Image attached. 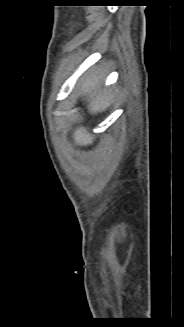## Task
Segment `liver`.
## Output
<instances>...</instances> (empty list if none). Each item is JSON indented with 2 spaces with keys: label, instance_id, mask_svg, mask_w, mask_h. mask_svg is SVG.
<instances>
[{
  "label": "liver",
  "instance_id": "liver-1",
  "mask_svg": "<svg viewBox=\"0 0 184 327\" xmlns=\"http://www.w3.org/2000/svg\"><path fill=\"white\" fill-rule=\"evenodd\" d=\"M99 85V80L97 77L86 78L82 83L83 94H90L92 90H96ZM112 102V97L107 95L99 94L96 98L90 97L89 99V109L91 113H98L105 111ZM74 141L77 145L87 146L91 145L94 141V136L91 135L86 128L79 127L73 133Z\"/></svg>",
  "mask_w": 184,
  "mask_h": 327
}]
</instances>
